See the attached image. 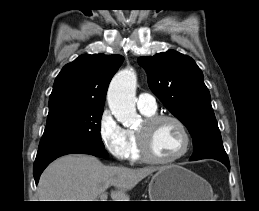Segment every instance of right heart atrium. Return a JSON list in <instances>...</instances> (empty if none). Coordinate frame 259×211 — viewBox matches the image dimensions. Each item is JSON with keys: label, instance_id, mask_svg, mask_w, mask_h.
Wrapping results in <instances>:
<instances>
[{"label": "right heart atrium", "instance_id": "d8ad5b80", "mask_svg": "<svg viewBox=\"0 0 259 211\" xmlns=\"http://www.w3.org/2000/svg\"><path fill=\"white\" fill-rule=\"evenodd\" d=\"M98 134L104 148L117 160H125L129 153L127 131L117 122L109 109L98 120Z\"/></svg>", "mask_w": 259, "mask_h": 211}]
</instances>
